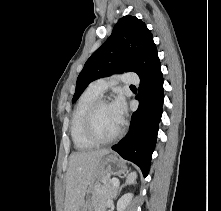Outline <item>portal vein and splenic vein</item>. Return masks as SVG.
I'll return each instance as SVG.
<instances>
[{"mask_svg":"<svg viewBox=\"0 0 221 211\" xmlns=\"http://www.w3.org/2000/svg\"><path fill=\"white\" fill-rule=\"evenodd\" d=\"M111 183H112L114 186H118V185H119V180L116 179V178H113V179H111Z\"/></svg>","mask_w":221,"mask_h":211,"instance_id":"obj_1","label":"portal vein and splenic vein"}]
</instances>
